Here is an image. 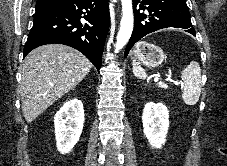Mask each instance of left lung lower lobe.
Segmentation results:
<instances>
[{"instance_id":"1","label":"left lung lower lobe","mask_w":227,"mask_h":166,"mask_svg":"<svg viewBox=\"0 0 227 166\" xmlns=\"http://www.w3.org/2000/svg\"><path fill=\"white\" fill-rule=\"evenodd\" d=\"M139 9L137 10V5ZM134 7V29L126 47V57L133 47L145 35L160 29L175 27L186 29V32L196 35L195 29L190 20V13L186 0H133ZM147 10L149 15L139 13L140 10Z\"/></svg>"}]
</instances>
